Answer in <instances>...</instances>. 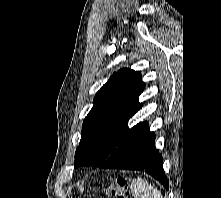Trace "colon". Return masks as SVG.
<instances>
[{
	"label": "colon",
	"instance_id": "colon-1",
	"mask_svg": "<svg viewBox=\"0 0 221 198\" xmlns=\"http://www.w3.org/2000/svg\"><path fill=\"white\" fill-rule=\"evenodd\" d=\"M104 194L114 198H131L129 182L124 177H118L112 184L104 188Z\"/></svg>",
	"mask_w": 221,
	"mask_h": 198
}]
</instances>
